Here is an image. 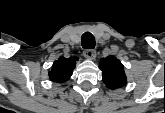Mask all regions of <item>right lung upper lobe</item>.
I'll return each instance as SVG.
<instances>
[{
	"mask_svg": "<svg viewBox=\"0 0 165 113\" xmlns=\"http://www.w3.org/2000/svg\"><path fill=\"white\" fill-rule=\"evenodd\" d=\"M74 68V58L67 59L60 57L53 63L52 70L49 72L50 80L54 82H65L72 75Z\"/></svg>",
	"mask_w": 165,
	"mask_h": 113,
	"instance_id": "cb5924a9",
	"label": "right lung upper lobe"
}]
</instances>
